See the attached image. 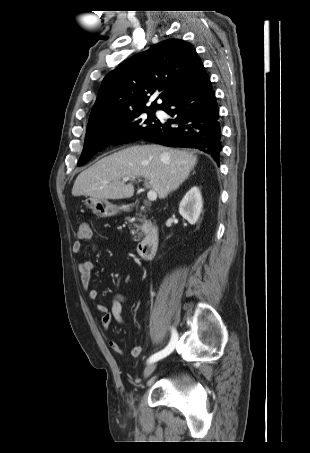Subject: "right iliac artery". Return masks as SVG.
Instances as JSON below:
<instances>
[{"label": "right iliac artery", "mask_w": 310, "mask_h": 453, "mask_svg": "<svg viewBox=\"0 0 310 453\" xmlns=\"http://www.w3.org/2000/svg\"><path fill=\"white\" fill-rule=\"evenodd\" d=\"M177 339L178 334L174 329H172V336L169 344L163 350L151 355L148 359V363L156 362L169 355L174 350Z\"/></svg>", "instance_id": "obj_1"}]
</instances>
